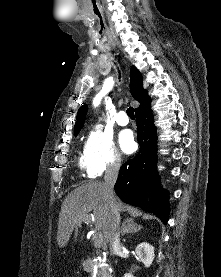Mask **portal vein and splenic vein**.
I'll return each instance as SVG.
<instances>
[{"label":"portal vein and splenic vein","mask_w":221,"mask_h":277,"mask_svg":"<svg viewBox=\"0 0 221 277\" xmlns=\"http://www.w3.org/2000/svg\"><path fill=\"white\" fill-rule=\"evenodd\" d=\"M92 219L90 216H86L80 220H78L77 225L80 226L82 222L89 224L91 223ZM94 243L96 247H100L103 244V234L100 233H96L94 235Z\"/></svg>","instance_id":"18ae733b"}]
</instances>
